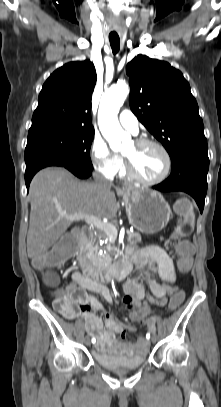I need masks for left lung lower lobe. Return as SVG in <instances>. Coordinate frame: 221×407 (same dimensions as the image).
Returning a JSON list of instances; mask_svg holds the SVG:
<instances>
[{
	"mask_svg": "<svg viewBox=\"0 0 221 407\" xmlns=\"http://www.w3.org/2000/svg\"><path fill=\"white\" fill-rule=\"evenodd\" d=\"M207 150V146H195L182 152L172 163L170 176L152 188L162 192H186L195 199L202 213L207 192L209 168Z\"/></svg>",
	"mask_w": 221,
	"mask_h": 407,
	"instance_id": "0a47b994",
	"label": "left lung lower lobe"
}]
</instances>
